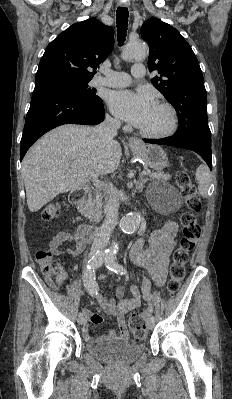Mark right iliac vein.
Listing matches in <instances>:
<instances>
[{
    "label": "right iliac vein",
    "mask_w": 232,
    "mask_h": 399,
    "mask_svg": "<svg viewBox=\"0 0 232 399\" xmlns=\"http://www.w3.org/2000/svg\"><path fill=\"white\" fill-rule=\"evenodd\" d=\"M77 322H78V325H79V324H82V325H83L84 317H83V316L78 317Z\"/></svg>",
    "instance_id": "right-iliac-vein-1"
}]
</instances>
